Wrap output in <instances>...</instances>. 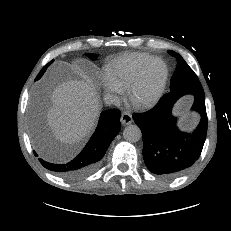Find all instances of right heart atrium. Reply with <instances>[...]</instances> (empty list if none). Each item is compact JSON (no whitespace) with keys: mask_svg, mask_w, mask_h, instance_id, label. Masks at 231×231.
Masks as SVG:
<instances>
[{"mask_svg":"<svg viewBox=\"0 0 231 231\" xmlns=\"http://www.w3.org/2000/svg\"><path fill=\"white\" fill-rule=\"evenodd\" d=\"M102 87L105 93L110 96H118L123 93V89L114 83L108 76L103 78Z\"/></svg>","mask_w":231,"mask_h":231,"instance_id":"right-heart-atrium-1","label":"right heart atrium"}]
</instances>
